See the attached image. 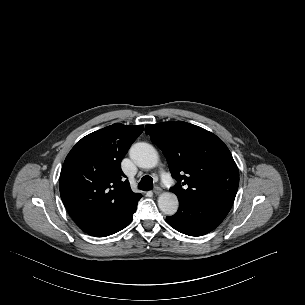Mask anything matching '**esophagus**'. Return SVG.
Masks as SVG:
<instances>
[{
  "label": "esophagus",
  "instance_id": "1",
  "mask_svg": "<svg viewBox=\"0 0 305 305\" xmlns=\"http://www.w3.org/2000/svg\"><path fill=\"white\" fill-rule=\"evenodd\" d=\"M153 192L154 194L159 195L162 193V189L160 187H156Z\"/></svg>",
  "mask_w": 305,
  "mask_h": 305
}]
</instances>
